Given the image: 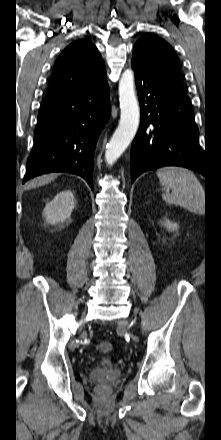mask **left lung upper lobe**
<instances>
[{"instance_id":"left-lung-upper-lobe-1","label":"left lung upper lobe","mask_w":221,"mask_h":440,"mask_svg":"<svg viewBox=\"0 0 221 440\" xmlns=\"http://www.w3.org/2000/svg\"><path fill=\"white\" fill-rule=\"evenodd\" d=\"M133 57L153 74L183 87L178 57L163 39L144 34L134 45Z\"/></svg>"}]
</instances>
